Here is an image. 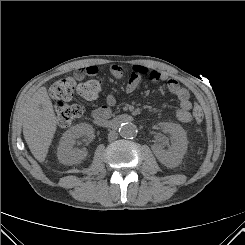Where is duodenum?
Here are the masks:
<instances>
[{"instance_id":"obj_1","label":"duodenum","mask_w":245,"mask_h":245,"mask_svg":"<svg viewBox=\"0 0 245 245\" xmlns=\"http://www.w3.org/2000/svg\"><path fill=\"white\" fill-rule=\"evenodd\" d=\"M133 122V117L127 114H121L113 119H98L95 121V123L103 128H110V129H115L118 128L121 124L123 123H131Z\"/></svg>"}]
</instances>
